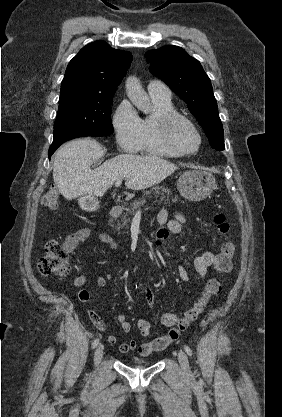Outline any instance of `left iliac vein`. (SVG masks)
Segmentation results:
<instances>
[{
  "label": "left iliac vein",
  "instance_id": "1",
  "mask_svg": "<svg viewBox=\"0 0 282 417\" xmlns=\"http://www.w3.org/2000/svg\"><path fill=\"white\" fill-rule=\"evenodd\" d=\"M178 361H179V364H180L181 368L183 369V371L186 374H190L191 370H190L189 360H188V357H187V355L184 351H180L178 353Z\"/></svg>",
  "mask_w": 282,
  "mask_h": 417
}]
</instances>
